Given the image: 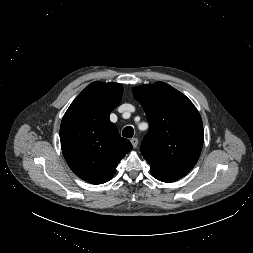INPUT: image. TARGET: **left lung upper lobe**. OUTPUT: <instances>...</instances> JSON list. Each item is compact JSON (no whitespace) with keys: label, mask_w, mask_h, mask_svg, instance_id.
I'll return each mask as SVG.
<instances>
[{"label":"left lung upper lobe","mask_w":253,"mask_h":253,"mask_svg":"<svg viewBox=\"0 0 253 253\" xmlns=\"http://www.w3.org/2000/svg\"><path fill=\"white\" fill-rule=\"evenodd\" d=\"M149 122L141 153L152 173L180 179L197 163L204 141L202 119L193 103L164 82L133 89Z\"/></svg>","instance_id":"1"}]
</instances>
